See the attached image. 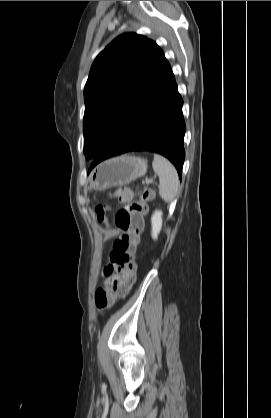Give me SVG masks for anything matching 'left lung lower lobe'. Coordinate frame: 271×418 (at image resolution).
I'll list each match as a JSON object with an SVG mask.
<instances>
[{
	"instance_id": "0a47b994",
	"label": "left lung lower lobe",
	"mask_w": 271,
	"mask_h": 418,
	"mask_svg": "<svg viewBox=\"0 0 271 418\" xmlns=\"http://www.w3.org/2000/svg\"><path fill=\"white\" fill-rule=\"evenodd\" d=\"M183 100L169 63L111 134L89 171L101 161L131 151H150L167 157L179 177L185 159Z\"/></svg>"
}]
</instances>
